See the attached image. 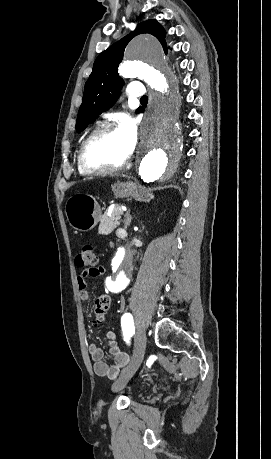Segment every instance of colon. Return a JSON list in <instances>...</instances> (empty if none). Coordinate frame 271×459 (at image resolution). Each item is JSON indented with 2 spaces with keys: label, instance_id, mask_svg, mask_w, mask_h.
Wrapping results in <instances>:
<instances>
[{
  "label": "colon",
  "instance_id": "1",
  "mask_svg": "<svg viewBox=\"0 0 271 459\" xmlns=\"http://www.w3.org/2000/svg\"><path fill=\"white\" fill-rule=\"evenodd\" d=\"M98 262L97 255L92 245L86 244L83 246L81 252L75 258V264L79 267L95 268ZM111 298L107 294L100 295L96 298L94 303V320L96 324H101L110 308Z\"/></svg>",
  "mask_w": 271,
  "mask_h": 459
}]
</instances>
